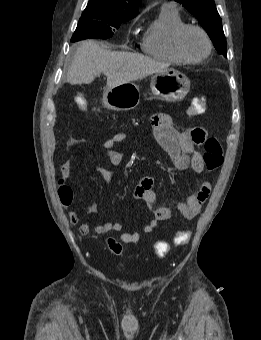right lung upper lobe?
Here are the masks:
<instances>
[{
    "instance_id": "cb5924a9",
    "label": "right lung upper lobe",
    "mask_w": 261,
    "mask_h": 340,
    "mask_svg": "<svg viewBox=\"0 0 261 340\" xmlns=\"http://www.w3.org/2000/svg\"><path fill=\"white\" fill-rule=\"evenodd\" d=\"M140 0H89L87 8L106 10L116 15L135 17Z\"/></svg>"
}]
</instances>
